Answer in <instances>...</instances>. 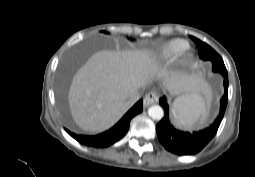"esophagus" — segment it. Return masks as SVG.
<instances>
[{
	"instance_id": "1",
	"label": "esophagus",
	"mask_w": 255,
	"mask_h": 177,
	"mask_svg": "<svg viewBox=\"0 0 255 177\" xmlns=\"http://www.w3.org/2000/svg\"><path fill=\"white\" fill-rule=\"evenodd\" d=\"M158 95L155 91H150L147 93L143 99L144 107H148L149 105L155 104L158 102Z\"/></svg>"
}]
</instances>
